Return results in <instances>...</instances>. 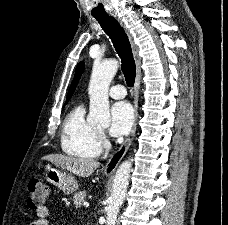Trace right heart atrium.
<instances>
[{
	"label": "right heart atrium",
	"mask_w": 228,
	"mask_h": 225,
	"mask_svg": "<svg viewBox=\"0 0 228 225\" xmlns=\"http://www.w3.org/2000/svg\"><path fill=\"white\" fill-rule=\"evenodd\" d=\"M99 136H100L101 139H104V138H105L104 132L100 131V132H99Z\"/></svg>",
	"instance_id": "d8ad5b80"
}]
</instances>
